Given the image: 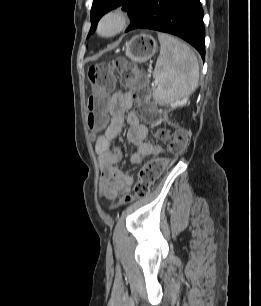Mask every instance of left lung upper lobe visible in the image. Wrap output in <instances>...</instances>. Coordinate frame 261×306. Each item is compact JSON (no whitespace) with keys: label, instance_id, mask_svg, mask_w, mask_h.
<instances>
[{"label":"left lung upper lobe","instance_id":"left-lung-upper-lobe-1","mask_svg":"<svg viewBox=\"0 0 261 306\" xmlns=\"http://www.w3.org/2000/svg\"><path fill=\"white\" fill-rule=\"evenodd\" d=\"M144 2L145 0H93L89 34L95 31L99 19L109 10L122 6V9L127 11L130 18L133 19Z\"/></svg>","mask_w":261,"mask_h":306}]
</instances>
